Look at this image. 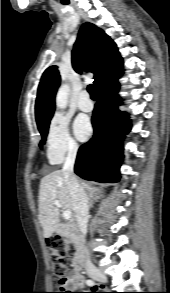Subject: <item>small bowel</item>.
Here are the masks:
<instances>
[{
  "label": "small bowel",
  "instance_id": "c3829d8e",
  "mask_svg": "<svg viewBox=\"0 0 170 293\" xmlns=\"http://www.w3.org/2000/svg\"><path fill=\"white\" fill-rule=\"evenodd\" d=\"M68 278L74 288H84V279L76 270L72 271Z\"/></svg>",
  "mask_w": 170,
  "mask_h": 293
}]
</instances>
